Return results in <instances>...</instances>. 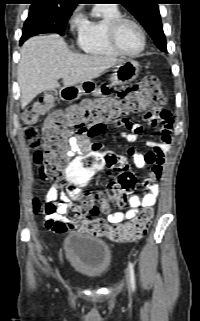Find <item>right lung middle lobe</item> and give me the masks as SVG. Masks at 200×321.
<instances>
[{"mask_svg":"<svg viewBox=\"0 0 200 321\" xmlns=\"http://www.w3.org/2000/svg\"><path fill=\"white\" fill-rule=\"evenodd\" d=\"M71 14L72 11L56 10L45 5H31L20 44L36 34L58 33L63 36Z\"/></svg>","mask_w":200,"mask_h":321,"instance_id":"dd1d6c3e","label":"right lung middle lobe"}]
</instances>
